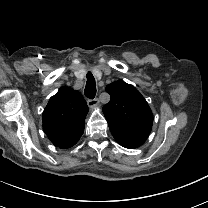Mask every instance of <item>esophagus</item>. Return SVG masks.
<instances>
[{
	"label": "esophagus",
	"mask_w": 208,
	"mask_h": 208,
	"mask_svg": "<svg viewBox=\"0 0 208 208\" xmlns=\"http://www.w3.org/2000/svg\"><path fill=\"white\" fill-rule=\"evenodd\" d=\"M99 104V99L97 98H94V99H88L87 101V105L92 108V107H95Z\"/></svg>",
	"instance_id": "obj_1"
}]
</instances>
